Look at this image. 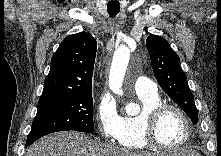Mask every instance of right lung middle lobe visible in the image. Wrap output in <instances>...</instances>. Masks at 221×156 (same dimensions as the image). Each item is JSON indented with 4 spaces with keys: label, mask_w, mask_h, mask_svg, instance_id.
Instances as JSON below:
<instances>
[{
    "label": "right lung middle lobe",
    "mask_w": 221,
    "mask_h": 156,
    "mask_svg": "<svg viewBox=\"0 0 221 156\" xmlns=\"http://www.w3.org/2000/svg\"><path fill=\"white\" fill-rule=\"evenodd\" d=\"M63 130L94 132L92 90L40 98L26 145L44 135Z\"/></svg>",
    "instance_id": "obj_1"
}]
</instances>
